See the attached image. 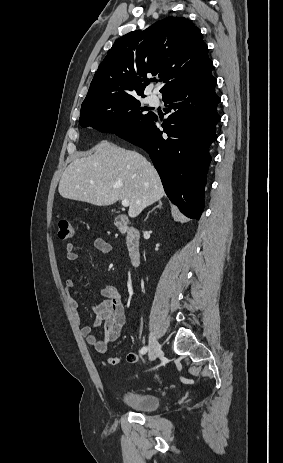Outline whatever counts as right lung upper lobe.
Returning <instances> with one entry per match:
<instances>
[{
	"instance_id": "obj_1",
	"label": "right lung upper lobe",
	"mask_w": 283,
	"mask_h": 463,
	"mask_svg": "<svg viewBox=\"0 0 283 463\" xmlns=\"http://www.w3.org/2000/svg\"><path fill=\"white\" fill-rule=\"evenodd\" d=\"M201 31L184 17H167L115 41L101 62L82 105L111 96H142L158 75L168 92L212 76L213 62Z\"/></svg>"
}]
</instances>
